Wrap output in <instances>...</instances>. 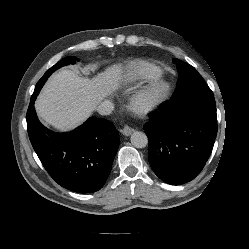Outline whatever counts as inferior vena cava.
Returning a JSON list of instances; mask_svg holds the SVG:
<instances>
[{
	"label": "inferior vena cava",
	"instance_id": "inferior-vena-cava-1",
	"mask_svg": "<svg viewBox=\"0 0 249 249\" xmlns=\"http://www.w3.org/2000/svg\"><path fill=\"white\" fill-rule=\"evenodd\" d=\"M113 109H114V104L110 100H104L97 107V111L101 115H109L113 111Z\"/></svg>",
	"mask_w": 249,
	"mask_h": 249
}]
</instances>
